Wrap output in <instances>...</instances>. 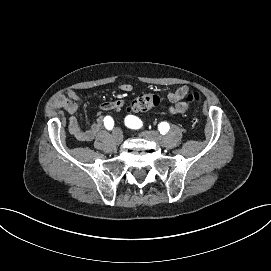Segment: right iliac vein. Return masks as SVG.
Returning <instances> with one entry per match:
<instances>
[{
	"mask_svg": "<svg viewBox=\"0 0 271 271\" xmlns=\"http://www.w3.org/2000/svg\"><path fill=\"white\" fill-rule=\"evenodd\" d=\"M113 139L116 144H120L123 141V134L119 129H116L113 133Z\"/></svg>",
	"mask_w": 271,
	"mask_h": 271,
	"instance_id": "63e3f726",
	"label": "right iliac vein"
}]
</instances>
